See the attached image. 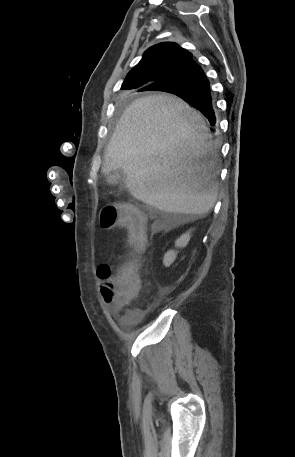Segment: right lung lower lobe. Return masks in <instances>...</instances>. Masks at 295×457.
<instances>
[{
    "instance_id": "98d812e1",
    "label": "right lung lower lobe",
    "mask_w": 295,
    "mask_h": 457,
    "mask_svg": "<svg viewBox=\"0 0 295 457\" xmlns=\"http://www.w3.org/2000/svg\"><path fill=\"white\" fill-rule=\"evenodd\" d=\"M144 90H174L173 94L199 109L211 124L216 123L208 80L195 61L186 65L175 79L157 83L142 89Z\"/></svg>"
}]
</instances>
